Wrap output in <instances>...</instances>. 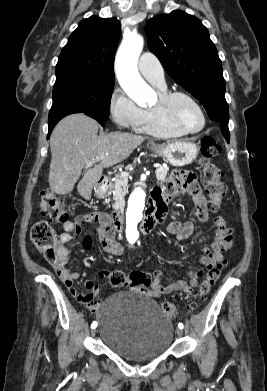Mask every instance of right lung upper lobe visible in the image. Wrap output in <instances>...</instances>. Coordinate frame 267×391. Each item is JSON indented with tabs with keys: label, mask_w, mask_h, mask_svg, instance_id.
<instances>
[{
	"label": "right lung upper lobe",
	"mask_w": 267,
	"mask_h": 391,
	"mask_svg": "<svg viewBox=\"0 0 267 391\" xmlns=\"http://www.w3.org/2000/svg\"><path fill=\"white\" fill-rule=\"evenodd\" d=\"M120 35L115 18L92 16L82 20L62 49L56 77L68 73L114 76V57Z\"/></svg>",
	"instance_id": "right-lung-upper-lobe-1"
}]
</instances>
